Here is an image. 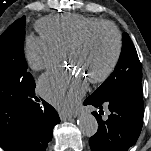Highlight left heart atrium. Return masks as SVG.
I'll list each match as a JSON object with an SVG mask.
<instances>
[{
  "label": "left heart atrium",
  "instance_id": "left-heart-atrium-1",
  "mask_svg": "<svg viewBox=\"0 0 151 151\" xmlns=\"http://www.w3.org/2000/svg\"><path fill=\"white\" fill-rule=\"evenodd\" d=\"M88 80L72 69L56 68L42 75L38 82L42 96L62 111L71 110L87 90Z\"/></svg>",
  "mask_w": 151,
  "mask_h": 151
}]
</instances>
